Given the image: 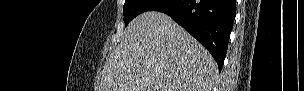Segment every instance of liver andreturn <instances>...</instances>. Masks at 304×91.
Returning <instances> with one entry per match:
<instances>
[{"instance_id": "liver-1", "label": "liver", "mask_w": 304, "mask_h": 91, "mask_svg": "<svg viewBox=\"0 0 304 91\" xmlns=\"http://www.w3.org/2000/svg\"><path fill=\"white\" fill-rule=\"evenodd\" d=\"M211 54L168 15L148 11L130 22L106 59L99 91H211Z\"/></svg>"}]
</instances>
